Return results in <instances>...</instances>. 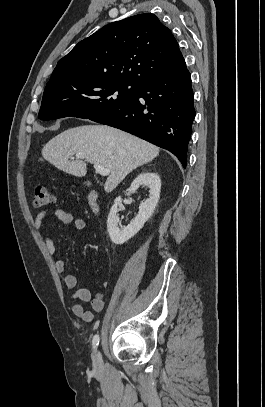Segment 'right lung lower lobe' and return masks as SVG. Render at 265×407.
<instances>
[{"instance_id":"1","label":"right lung lower lobe","mask_w":265,"mask_h":407,"mask_svg":"<svg viewBox=\"0 0 265 407\" xmlns=\"http://www.w3.org/2000/svg\"><path fill=\"white\" fill-rule=\"evenodd\" d=\"M194 118L191 75L180 56L170 69L141 83L131 103L90 120L169 150L186 168Z\"/></svg>"}]
</instances>
